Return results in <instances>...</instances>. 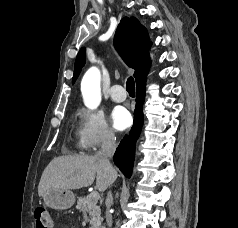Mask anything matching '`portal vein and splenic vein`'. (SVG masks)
<instances>
[{
  "label": "portal vein and splenic vein",
  "mask_w": 238,
  "mask_h": 228,
  "mask_svg": "<svg viewBox=\"0 0 238 228\" xmlns=\"http://www.w3.org/2000/svg\"><path fill=\"white\" fill-rule=\"evenodd\" d=\"M89 197L92 199V200H98L99 199V193L96 192V191H93L89 194Z\"/></svg>",
  "instance_id": "obj_1"
}]
</instances>
